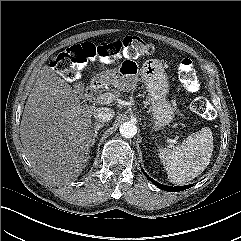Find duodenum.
I'll use <instances>...</instances> for the list:
<instances>
[{
	"mask_svg": "<svg viewBox=\"0 0 241 241\" xmlns=\"http://www.w3.org/2000/svg\"><path fill=\"white\" fill-rule=\"evenodd\" d=\"M102 87V81L100 79H94L86 88L88 97H92Z\"/></svg>",
	"mask_w": 241,
	"mask_h": 241,
	"instance_id": "obj_1",
	"label": "duodenum"
}]
</instances>
